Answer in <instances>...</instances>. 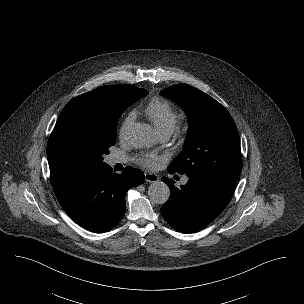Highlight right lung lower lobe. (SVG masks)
Here are the masks:
<instances>
[{
  "mask_svg": "<svg viewBox=\"0 0 304 304\" xmlns=\"http://www.w3.org/2000/svg\"><path fill=\"white\" fill-rule=\"evenodd\" d=\"M144 180V174L137 169L128 166L122 174H116L105 164L92 169L57 199L81 227L103 233L115 227L124 216L127 190Z\"/></svg>",
  "mask_w": 304,
  "mask_h": 304,
  "instance_id": "obj_1",
  "label": "right lung lower lobe"
}]
</instances>
